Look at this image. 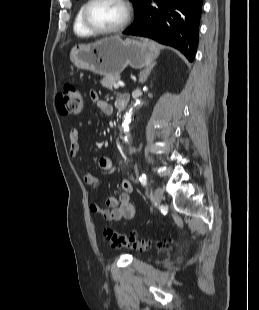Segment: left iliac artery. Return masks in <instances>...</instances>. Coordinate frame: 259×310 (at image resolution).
<instances>
[{
	"mask_svg": "<svg viewBox=\"0 0 259 310\" xmlns=\"http://www.w3.org/2000/svg\"><path fill=\"white\" fill-rule=\"evenodd\" d=\"M139 180H140V182H141V184H142L143 186H146V185H147V177H146L145 174H142V175L140 176Z\"/></svg>",
	"mask_w": 259,
	"mask_h": 310,
	"instance_id": "obj_1",
	"label": "left iliac artery"
}]
</instances>
